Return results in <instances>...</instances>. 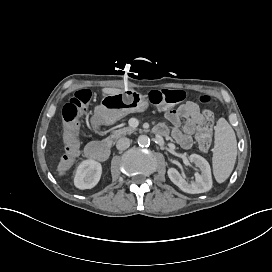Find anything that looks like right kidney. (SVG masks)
Listing matches in <instances>:
<instances>
[{
	"label": "right kidney",
	"instance_id": "1",
	"mask_svg": "<svg viewBox=\"0 0 272 272\" xmlns=\"http://www.w3.org/2000/svg\"><path fill=\"white\" fill-rule=\"evenodd\" d=\"M101 165L92 160L81 163L75 176V185L78 188L90 189L94 187L100 179Z\"/></svg>",
	"mask_w": 272,
	"mask_h": 272
}]
</instances>
